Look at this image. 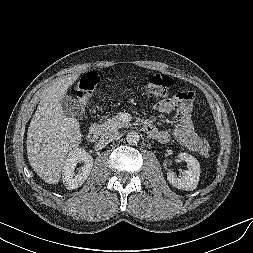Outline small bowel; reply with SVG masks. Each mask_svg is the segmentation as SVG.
Here are the masks:
<instances>
[{
    "label": "small bowel",
    "instance_id": "small-bowel-1",
    "mask_svg": "<svg viewBox=\"0 0 253 253\" xmlns=\"http://www.w3.org/2000/svg\"><path fill=\"white\" fill-rule=\"evenodd\" d=\"M192 104L193 102L180 101L176 98H164L156 104L155 109L164 114L177 110L179 120L173 129L174 136L187 149L198 151L200 138L194 131L192 123ZM144 128L152 138L161 143L170 140L171 133L168 130H158L151 123H147Z\"/></svg>",
    "mask_w": 253,
    "mask_h": 253
}]
</instances>
